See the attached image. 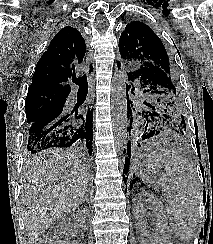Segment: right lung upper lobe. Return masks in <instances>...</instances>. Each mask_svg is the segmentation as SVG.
<instances>
[{
	"label": "right lung upper lobe",
	"instance_id": "1",
	"mask_svg": "<svg viewBox=\"0 0 213 244\" xmlns=\"http://www.w3.org/2000/svg\"><path fill=\"white\" fill-rule=\"evenodd\" d=\"M85 52L80 32L71 26L62 28L38 61L27 97L53 94L67 98L71 91L68 79L75 75Z\"/></svg>",
	"mask_w": 213,
	"mask_h": 244
}]
</instances>
